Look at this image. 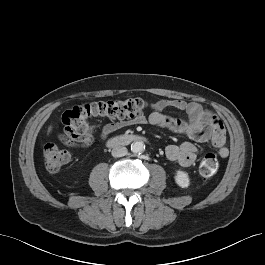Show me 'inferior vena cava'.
<instances>
[{"instance_id":"obj_1","label":"inferior vena cava","mask_w":265,"mask_h":265,"mask_svg":"<svg viewBox=\"0 0 265 265\" xmlns=\"http://www.w3.org/2000/svg\"><path fill=\"white\" fill-rule=\"evenodd\" d=\"M111 154L113 157L125 156L127 154V148L123 147V146H117V147L112 149Z\"/></svg>"}]
</instances>
